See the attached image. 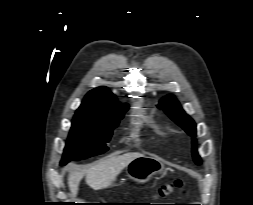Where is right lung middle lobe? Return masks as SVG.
I'll return each instance as SVG.
<instances>
[{
    "label": "right lung middle lobe",
    "mask_w": 253,
    "mask_h": 205,
    "mask_svg": "<svg viewBox=\"0 0 253 205\" xmlns=\"http://www.w3.org/2000/svg\"><path fill=\"white\" fill-rule=\"evenodd\" d=\"M128 105H116L110 114L96 116L77 113L74 116L68 143L64 149L61 165L69 161L95 156L107 151L113 129L123 118Z\"/></svg>",
    "instance_id": "right-lung-middle-lobe-1"
}]
</instances>
